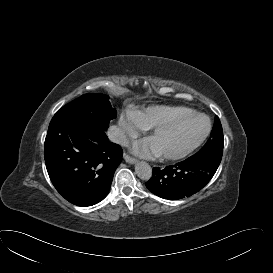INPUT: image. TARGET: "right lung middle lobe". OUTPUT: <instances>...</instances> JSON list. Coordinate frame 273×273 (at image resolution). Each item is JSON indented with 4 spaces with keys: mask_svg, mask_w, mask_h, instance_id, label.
<instances>
[{
    "mask_svg": "<svg viewBox=\"0 0 273 273\" xmlns=\"http://www.w3.org/2000/svg\"><path fill=\"white\" fill-rule=\"evenodd\" d=\"M108 99L104 94H84L59 109L51 121L65 118L106 130L117 115Z\"/></svg>",
    "mask_w": 273,
    "mask_h": 273,
    "instance_id": "right-lung-middle-lobe-1",
    "label": "right lung middle lobe"
}]
</instances>
